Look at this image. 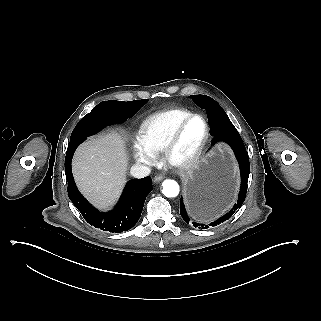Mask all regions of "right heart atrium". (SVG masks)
Returning a JSON list of instances; mask_svg holds the SVG:
<instances>
[{"instance_id": "1", "label": "right heart atrium", "mask_w": 321, "mask_h": 321, "mask_svg": "<svg viewBox=\"0 0 321 321\" xmlns=\"http://www.w3.org/2000/svg\"><path fill=\"white\" fill-rule=\"evenodd\" d=\"M133 155L136 162L145 168L152 167L157 161L156 153L137 135L133 139Z\"/></svg>"}]
</instances>
